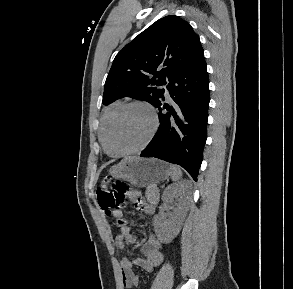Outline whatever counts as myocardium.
Listing matches in <instances>:
<instances>
[{
	"label": "myocardium",
	"instance_id": "1",
	"mask_svg": "<svg viewBox=\"0 0 293 289\" xmlns=\"http://www.w3.org/2000/svg\"><path fill=\"white\" fill-rule=\"evenodd\" d=\"M131 106H141V107H144L145 109L148 110V112L151 116V121H152L150 132H149L148 136L146 137V139L144 140V142L141 145H139L138 147H136L134 149L127 150V151L113 152L110 150L109 141H108V136L110 133L111 126L114 123L117 116L122 111H124L125 109H127ZM158 128H159V117H158L156 110L154 109V107L151 104H149L145 101H142V100H132V101L123 103L114 111V113L111 115V117L109 118V120L106 124L105 131H104V138H103L104 152L108 156L114 157V158L124 157V156L138 153V152L142 151L143 149H145L151 143V141L153 140V138L155 137V135L158 131Z\"/></svg>",
	"mask_w": 293,
	"mask_h": 289
}]
</instances>
